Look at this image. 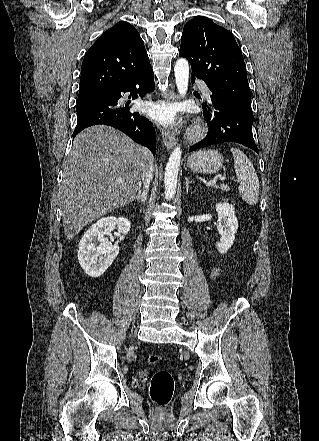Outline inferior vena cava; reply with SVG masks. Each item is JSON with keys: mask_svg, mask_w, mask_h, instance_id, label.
<instances>
[{"mask_svg": "<svg viewBox=\"0 0 319 441\" xmlns=\"http://www.w3.org/2000/svg\"><path fill=\"white\" fill-rule=\"evenodd\" d=\"M153 169H154L153 156L149 153V160L143 174V185L146 190H148L150 181L153 177Z\"/></svg>", "mask_w": 319, "mask_h": 441, "instance_id": "1", "label": "inferior vena cava"}]
</instances>
